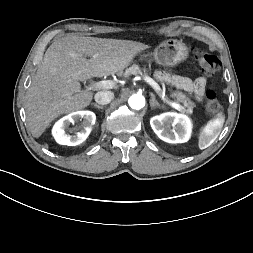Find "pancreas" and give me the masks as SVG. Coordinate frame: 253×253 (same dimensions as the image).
Masks as SVG:
<instances>
[{"label":"pancreas","instance_id":"cf45deb5","mask_svg":"<svg viewBox=\"0 0 253 253\" xmlns=\"http://www.w3.org/2000/svg\"><path fill=\"white\" fill-rule=\"evenodd\" d=\"M129 75H147V70L141 69L138 65L133 64L131 67L127 68L124 76ZM171 97L176 100V102H180L183 104V112L186 114H192L193 108L195 107V104L182 92L175 91L171 93Z\"/></svg>","mask_w":253,"mask_h":253}]
</instances>
